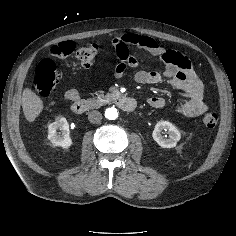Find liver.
Wrapping results in <instances>:
<instances>
[{
    "mask_svg": "<svg viewBox=\"0 0 236 236\" xmlns=\"http://www.w3.org/2000/svg\"><path fill=\"white\" fill-rule=\"evenodd\" d=\"M22 109L26 120L32 123L44 108L42 99L31 89L25 88L22 94Z\"/></svg>",
    "mask_w": 236,
    "mask_h": 236,
    "instance_id": "1",
    "label": "liver"
}]
</instances>
